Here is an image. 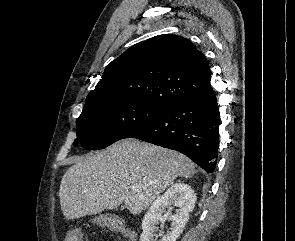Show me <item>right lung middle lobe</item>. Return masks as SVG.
Returning <instances> with one entry per match:
<instances>
[{
	"mask_svg": "<svg viewBox=\"0 0 295 241\" xmlns=\"http://www.w3.org/2000/svg\"><path fill=\"white\" fill-rule=\"evenodd\" d=\"M163 110V107L137 102L112 91L88 95L76 120L77 138L73 144H81L89 150L104 149Z\"/></svg>",
	"mask_w": 295,
	"mask_h": 241,
	"instance_id": "dd1d6c3e",
	"label": "right lung middle lobe"
}]
</instances>
